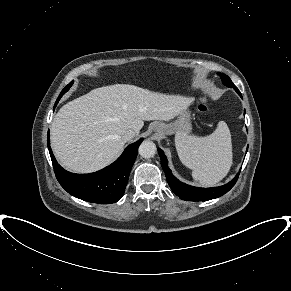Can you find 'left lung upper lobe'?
<instances>
[{
    "label": "left lung upper lobe",
    "mask_w": 291,
    "mask_h": 291,
    "mask_svg": "<svg viewBox=\"0 0 291 291\" xmlns=\"http://www.w3.org/2000/svg\"><path fill=\"white\" fill-rule=\"evenodd\" d=\"M218 74H219V76L221 77L223 83H224L226 86H228V87H230V88H234L235 91H236L238 94H240L238 88H237V87L232 83L231 79H230L227 75H225V74H223V73H218Z\"/></svg>",
    "instance_id": "1"
}]
</instances>
